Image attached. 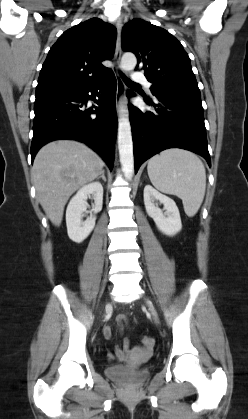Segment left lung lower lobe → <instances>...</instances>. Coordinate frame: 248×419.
Masks as SVG:
<instances>
[{
  "label": "left lung lower lobe",
  "mask_w": 248,
  "mask_h": 419,
  "mask_svg": "<svg viewBox=\"0 0 248 419\" xmlns=\"http://www.w3.org/2000/svg\"><path fill=\"white\" fill-rule=\"evenodd\" d=\"M131 91L127 96H133ZM146 100L153 111L129 104L135 172L141 164L169 148H182L203 156L211 165L200 96H156Z\"/></svg>",
  "instance_id": "0a47b994"
}]
</instances>
